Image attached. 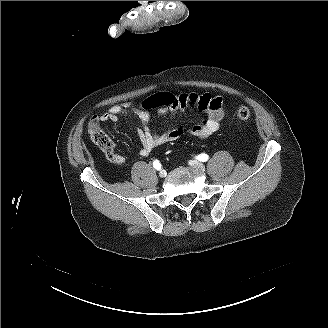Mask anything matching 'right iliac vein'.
<instances>
[{
  "label": "right iliac vein",
  "mask_w": 328,
  "mask_h": 328,
  "mask_svg": "<svg viewBox=\"0 0 328 328\" xmlns=\"http://www.w3.org/2000/svg\"><path fill=\"white\" fill-rule=\"evenodd\" d=\"M167 175V171L166 170H161L160 172H159V176L161 177V178H164L165 176Z\"/></svg>",
  "instance_id": "1"
}]
</instances>
